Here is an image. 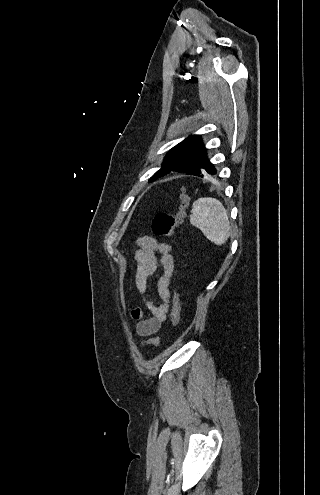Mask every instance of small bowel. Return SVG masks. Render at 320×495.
I'll use <instances>...</instances> for the list:
<instances>
[{"label":"small bowel","instance_id":"1","mask_svg":"<svg viewBox=\"0 0 320 495\" xmlns=\"http://www.w3.org/2000/svg\"><path fill=\"white\" fill-rule=\"evenodd\" d=\"M160 256L157 258L156 253ZM134 258L136 261L135 283L138 291L144 298V304L149 311L146 314L141 308L131 311L132 318L136 321V333L145 339V344L158 345V337H153L167 319L170 309L171 294L169 290L170 280L174 271V257L171 246L159 241L156 237L145 235L135 242ZM157 276V290L161 302L154 304L147 295L151 279Z\"/></svg>","mask_w":320,"mask_h":495}]
</instances>
